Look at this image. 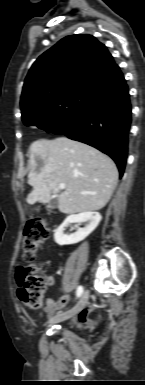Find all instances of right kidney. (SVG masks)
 I'll return each mask as SVG.
<instances>
[{
  "mask_svg": "<svg viewBox=\"0 0 145 385\" xmlns=\"http://www.w3.org/2000/svg\"><path fill=\"white\" fill-rule=\"evenodd\" d=\"M102 217L99 212H82L76 215H69L64 222L56 229L54 233V240L58 245L76 244L84 240L100 223ZM88 221V225L84 228H78L77 231L71 235L65 234V229L70 223H81Z\"/></svg>",
  "mask_w": 145,
  "mask_h": 385,
  "instance_id": "1",
  "label": "right kidney"
}]
</instances>
